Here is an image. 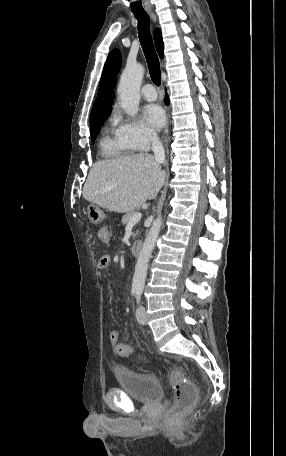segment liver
<instances>
[{
    "label": "liver",
    "instance_id": "obj_1",
    "mask_svg": "<svg viewBox=\"0 0 286 456\" xmlns=\"http://www.w3.org/2000/svg\"><path fill=\"white\" fill-rule=\"evenodd\" d=\"M165 181V172L154 156L141 153L96 162L83 187V197L118 213L139 209L154 199Z\"/></svg>",
    "mask_w": 286,
    "mask_h": 456
}]
</instances>
